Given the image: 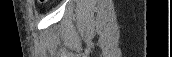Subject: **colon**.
<instances>
[{"instance_id":"5ec220e1","label":"colon","mask_w":172,"mask_h":57,"mask_svg":"<svg viewBox=\"0 0 172 57\" xmlns=\"http://www.w3.org/2000/svg\"><path fill=\"white\" fill-rule=\"evenodd\" d=\"M40 2H44V0H40Z\"/></svg>"}]
</instances>
